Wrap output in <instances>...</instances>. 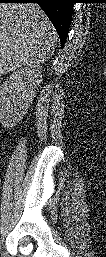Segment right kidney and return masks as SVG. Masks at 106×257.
<instances>
[{"label": "right kidney", "instance_id": "right-kidney-1", "mask_svg": "<svg viewBox=\"0 0 106 257\" xmlns=\"http://www.w3.org/2000/svg\"><path fill=\"white\" fill-rule=\"evenodd\" d=\"M42 68L37 65L20 67L0 86L1 118L15 124L32 102L41 82Z\"/></svg>", "mask_w": 106, "mask_h": 257}]
</instances>
